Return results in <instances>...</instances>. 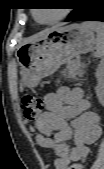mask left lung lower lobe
Segmentation results:
<instances>
[{"label": "left lung lower lobe", "instance_id": "obj_1", "mask_svg": "<svg viewBox=\"0 0 104 169\" xmlns=\"http://www.w3.org/2000/svg\"><path fill=\"white\" fill-rule=\"evenodd\" d=\"M65 21H102L104 4L100 0H79L78 8Z\"/></svg>", "mask_w": 104, "mask_h": 169}]
</instances>
